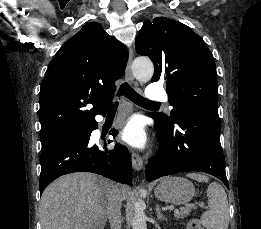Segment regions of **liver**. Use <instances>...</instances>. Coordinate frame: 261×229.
<instances>
[{
  "label": "liver",
  "instance_id": "obj_1",
  "mask_svg": "<svg viewBox=\"0 0 261 229\" xmlns=\"http://www.w3.org/2000/svg\"><path fill=\"white\" fill-rule=\"evenodd\" d=\"M113 189L112 181L94 173L63 175L41 197V229H104ZM119 193L123 201L128 199L127 189Z\"/></svg>",
  "mask_w": 261,
  "mask_h": 229
}]
</instances>
